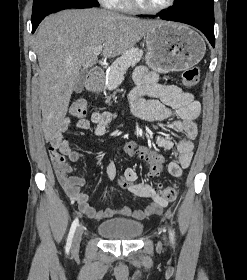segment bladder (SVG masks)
<instances>
[{
	"mask_svg": "<svg viewBox=\"0 0 247 280\" xmlns=\"http://www.w3.org/2000/svg\"><path fill=\"white\" fill-rule=\"evenodd\" d=\"M98 233L112 240H134L143 232V224L128 218H112L97 226Z\"/></svg>",
	"mask_w": 247,
	"mask_h": 280,
	"instance_id": "1",
	"label": "bladder"
}]
</instances>
